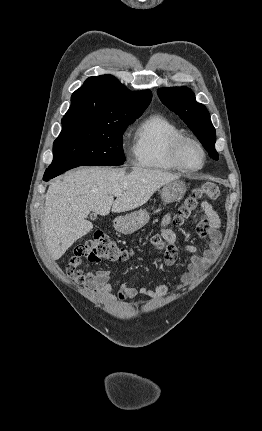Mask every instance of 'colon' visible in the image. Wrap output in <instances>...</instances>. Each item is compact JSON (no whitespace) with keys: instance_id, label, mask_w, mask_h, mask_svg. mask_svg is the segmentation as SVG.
I'll list each match as a JSON object with an SVG mask.
<instances>
[{"instance_id":"5ec220e1","label":"colon","mask_w":262,"mask_h":431,"mask_svg":"<svg viewBox=\"0 0 262 431\" xmlns=\"http://www.w3.org/2000/svg\"><path fill=\"white\" fill-rule=\"evenodd\" d=\"M221 196L220 187L215 183H204L197 188L179 208L177 214L173 218V224L178 226L183 224L191 217L193 211L198 207L199 202L203 198L210 200H218ZM151 244L157 249H165L168 245L164 238L157 234L151 237ZM128 255V250L114 241L104 236L101 233L94 234L91 239L76 248L73 255L69 258L66 273L69 276L81 274L79 263L82 258L94 262H118L125 259Z\"/></svg>"}]
</instances>
